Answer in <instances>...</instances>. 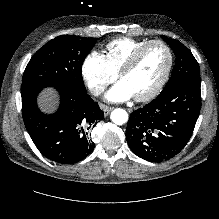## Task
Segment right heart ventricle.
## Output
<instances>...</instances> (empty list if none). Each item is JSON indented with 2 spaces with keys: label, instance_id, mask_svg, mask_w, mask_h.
Wrapping results in <instances>:
<instances>
[{
  "label": "right heart ventricle",
  "instance_id": "obj_1",
  "mask_svg": "<svg viewBox=\"0 0 219 219\" xmlns=\"http://www.w3.org/2000/svg\"><path fill=\"white\" fill-rule=\"evenodd\" d=\"M147 40H136L130 37H119L106 44L105 57L110 67L119 72L126 60L140 47L145 45Z\"/></svg>",
  "mask_w": 219,
  "mask_h": 219
}]
</instances>
